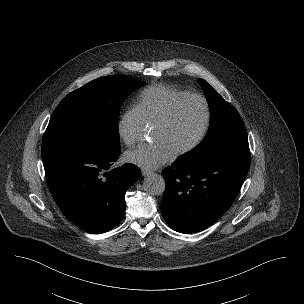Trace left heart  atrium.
I'll list each match as a JSON object with an SVG mask.
<instances>
[{
    "instance_id": "obj_1",
    "label": "left heart atrium",
    "mask_w": 304,
    "mask_h": 304,
    "mask_svg": "<svg viewBox=\"0 0 304 304\" xmlns=\"http://www.w3.org/2000/svg\"><path fill=\"white\" fill-rule=\"evenodd\" d=\"M174 157L172 150L162 142L143 144L126 152L125 160L143 169H155Z\"/></svg>"
}]
</instances>
